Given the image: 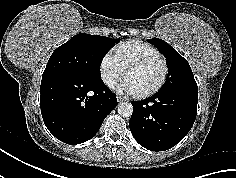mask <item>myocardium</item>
Segmentation results:
<instances>
[{
	"label": "myocardium",
	"instance_id": "myocardium-1",
	"mask_svg": "<svg viewBox=\"0 0 236 178\" xmlns=\"http://www.w3.org/2000/svg\"><path fill=\"white\" fill-rule=\"evenodd\" d=\"M154 61H160L163 64V74L161 76V79L159 80V82L153 88L148 89L145 92L136 94L137 97H139V98L149 97V96L155 94L156 92H158L164 86V84H165V82L168 78V74H169V65H168L167 60L161 55L150 56V57H146L144 59L133 61V62L129 63L124 69L123 75L125 77L126 74L130 70H132L134 68H138V67L148 65V64H150Z\"/></svg>",
	"mask_w": 236,
	"mask_h": 178
}]
</instances>
